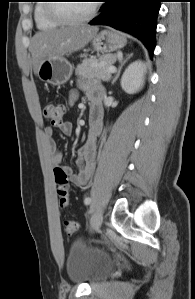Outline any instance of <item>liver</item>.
Segmentation results:
<instances>
[{"label": "liver", "mask_w": 195, "mask_h": 299, "mask_svg": "<svg viewBox=\"0 0 195 299\" xmlns=\"http://www.w3.org/2000/svg\"><path fill=\"white\" fill-rule=\"evenodd\" d=\"M98 28L87 25L62 27L38 32L31 42L34 74L46 59L63 57L84 48L97 34Z\"/></svg>", "instance_id": "liver-1"}]
</instances>
